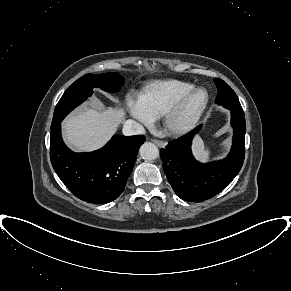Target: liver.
<instances>
[{
	"instance_id": "obj_1",
	"label": "liver",
	"mask_w": 291,
	"mask_h": 291,
	"mask_svg": "<svg viewBox=\"0 0 291 291\" xmlns=\"http://www.w3.org/2000/svg\"><path fill=\"white\" fill-rule=\"evenodd\" d=\"M124 118L125 112L122 108H85L65 119L64 140L76 151L99 149L116 132Z\"/></svg>"
}]
</instances>
